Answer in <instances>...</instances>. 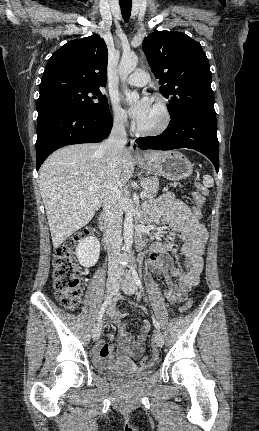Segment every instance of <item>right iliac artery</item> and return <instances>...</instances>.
Returning a JSON list of instances; mask_svg holds the SVG:
<instances>
[{
	"label": "right iliac artery",
	"mask_w": 259,
	"mask_h": 431,
	"mask_svg": "<svg viewBox=\"0 0 259 431\" xmlns=\"http://www.w3.org/2000/svg\"><path fill=\"white\" fill-rule=\"evenodd\" d=\"M110 302H111V296H108L106 298L105 302L103 303L102 307H101V310H100L99 315H98V321H101V319L105 313V310H106V308Z\"/></svg>",
	"instance_id": "obj_1"
}]
</instances>
